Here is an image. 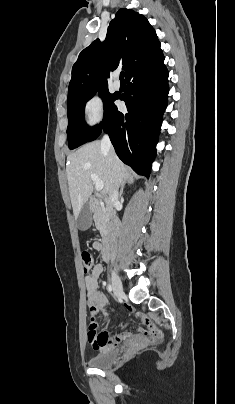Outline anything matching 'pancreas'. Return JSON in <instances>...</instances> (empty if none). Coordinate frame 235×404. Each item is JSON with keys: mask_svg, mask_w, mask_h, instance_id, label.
I'll list each match as a JSON object with an SVG mask.
<instances>
[{"mask_svg": "<svg viewBox=\"0 0 235 404\" xmlns=\"http://www.w3.org/2000/svg\"><path fill=\"white\" fill-rule=\"evenodd\" d=\"M94 221L96 228L100 231L101 234L105 232L106 227V212L103 209H98L94 213Z\"/></svg>", "mask_w": 235, "mask_h": 404, "instance_id": "pancreas-1", "label": "pancreas"}]
</instances>
